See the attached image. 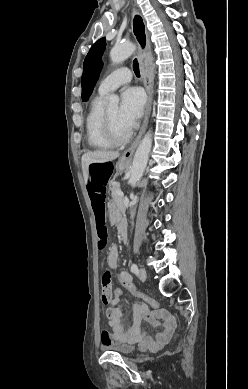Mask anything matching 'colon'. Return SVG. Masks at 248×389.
I'll list each match as a JSON object with an SVG mask.
<instances>
[{
	"label": "colon",
	"mask_w": 248,
	"mask_h": 389,
	"mask_svg": "<svg viewBox=\"0 0 248 389\" xmlns=\"http://www.w3.org/2000/svg\"><path fill=\"white\" fill-rule=\"evenodd\" d=\"M113 166L110 161H101L100 165H91L90 167V179L87 180V190L89 200L94 211L95 217L97 216V236L98 247L100 250H104L107 245L108 230L105 224V192L104 186L109 182V177L112 176ZM116 279L120 278L119 274L115 275ZM112 287V274L109 270L103 272L101 276V292L102 301L107 303L111 298ZM132 291L133 295L143 299L153 307H158V302L153 298L143 294L137 290V284H133L128 277H121L119 279V285L114 287L113 298H123V291Z\"/></svg>",
	"instance_id": "obj_1"
}]
</instances>
